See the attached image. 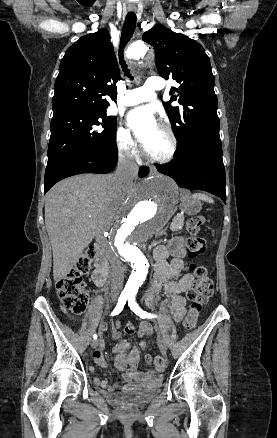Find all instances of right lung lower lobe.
<instances>
[{"label":"right lung lower lobe","instance_id":"98d812e1","mask_svg":"<svg viewBox=\"0 0 277 438\" xmlns=\"http://www.w3.org/2000/svg\"><path fill=\"white\" fill-rule=\"evenodd\" d=\"M117 164V147L98 149L64 156L47 165L44 180V193L58 181L82 173H108ZM148 174V168L142 167L139 176Z\"/></svg>","mask_w":277,"mask_h":438}]
</instances>
